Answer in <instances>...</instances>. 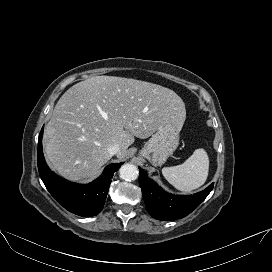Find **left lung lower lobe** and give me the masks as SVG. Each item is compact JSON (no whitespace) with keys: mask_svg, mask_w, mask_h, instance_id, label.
I'll use <instances>...</instances> for the list:
<instances>
[{"mask_svg":"<svg viewBox=\"0 0 272 272\" xmlns=\"http://www.w3.org/2000/svg\"><path fill=\"white\" fill-rule=\"evenodd\" d=\"M139 185L148 213L155 219H180L196 209L213 189V183L194 195H172L165 192L139 167Z\"/></svg>","mask_w":272,"mask_h":272,"instance_id":"obj_1","label":"left lung lower lobe"}]
</instances>
